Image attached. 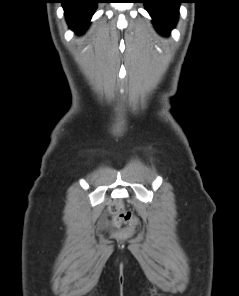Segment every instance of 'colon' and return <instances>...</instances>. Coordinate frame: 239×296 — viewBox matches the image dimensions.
<instances>
[{
  "label": "colon",
  "mask_w": 239,
  "mask_h": 296,
  "mask_svg": "<svg viewBox=\"0 0 239 296\" xmlns=\"http://www.w3.org/2000/svg\"><path fill=\"white\" fill-rule=\"evenodd\" d=\"M110 213L113 216V223L116 226L126 225L129 228L137 226V218L130 212L125 210L120 201H115L110 205Z\"/></svg>",
  "instance_id": "colon-1"
}]
</instances>
